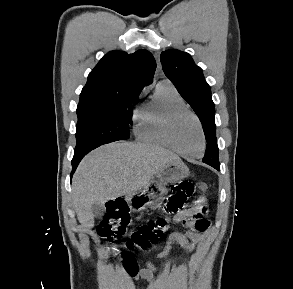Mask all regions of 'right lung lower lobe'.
<instances>
[{
  "mask_svg": "<svg viewBox=\"0 0 293 289\" xmlns=\"http://www.w3.org/2000/svg\"><path fill=\"white\" fill-rule=\"evenodd\" d=\"M88 152H89V150H85V151H80V152H75L74 153V157H73V160H72V173H71V175L76 170V168H77L79 162L81 161V159Z\"/></svg>",
  "mask_w": 293,
  "mask_h": 289,
  "instance_id": "right-lung-lower-lobe-1",
  "label": "right lung lower lobe"
}]
</instances>
